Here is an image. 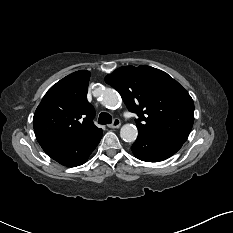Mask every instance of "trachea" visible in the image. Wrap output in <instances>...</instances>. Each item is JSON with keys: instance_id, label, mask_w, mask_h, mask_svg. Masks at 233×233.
Masks as SVG:
<instances>
[{"instance_id": "trachea-1", "label": "trachea", "mask_w": 233, "mask_h": 233, "mask_svg": "<svg viewBox=\"0 0 233 233\" xmlns=\"http://www.w3.org/2000/svg\"><path fill=\"white\" fill-rule=\"evenodd\" d=\"M98 123L103 125L111 124L112 123L111 115L105 112L100 113Z\"/></svg>"}]
</instances>
